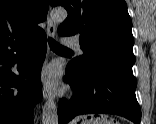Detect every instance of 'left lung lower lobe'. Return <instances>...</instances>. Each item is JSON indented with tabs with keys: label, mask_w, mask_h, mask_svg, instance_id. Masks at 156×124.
<instances>
[{
	"label": "left lung lower lobe",
	"mask_w": 156,
	"mask_h": 124,
	"mask_svg": "<svg viewBox=\"0 0 156 124\" xmlns=\"http://www.w3.org/2000/svg\"><path fill=\"white\" fill-rule=\"evenodd\" d=\"M64 81L74 90L69 102L58 106V124L81 114H116L140 124L141 110L136 99L133 74L115 66H102L89 74L75 73L68 65Z\"/></svg>",
	"instance_id": "obj_1"
}]
</instances>
